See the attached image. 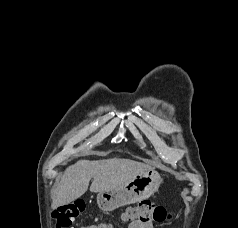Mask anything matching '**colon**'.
I'll list each match as a JSON object with an SVG mask.
<instances>
[{
	"instance_id": "obj_1",
	"label": "colon",
	"mask_w": 238,
	"mask_h": 228,
	"mask_svg": "<svg viewBox=\"0 0 238 228\" xmlns=\"http://www.w3.org/2000/svg\"><path fill=\"white\" fill-rule=\"evenodd\" d=\"M85 205L81 201L61 205L54 210L52 217L55 228H70L74 220L84 211ZM169 218V213L160 204L148 200L141 201L138 205L127 208L122 214V220L138 222L141 224L163 223ZM81 228H109L107 224H89Z\"/></svg>"
}]
</instances>
